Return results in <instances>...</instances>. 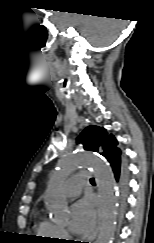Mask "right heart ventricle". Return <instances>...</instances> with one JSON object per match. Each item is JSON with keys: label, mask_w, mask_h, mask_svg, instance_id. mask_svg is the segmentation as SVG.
<instances>
[{"label": "right heart ventricle", "mask_w": 154, "mask_h": 243, "mask_svg": "<svg viewBox=\"0 0 154 243\" xmlns=\"http://www.w3.org/2000/svg\"><path fill=\"white\" fill-rule=\"evenodd\" d=\"M36 232L38 235L51 240H57L61 237L60 226L45 216L39 217Z\"/></svg>", "instance_id": "obj_1"}]
</instances>
